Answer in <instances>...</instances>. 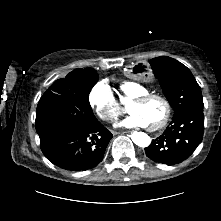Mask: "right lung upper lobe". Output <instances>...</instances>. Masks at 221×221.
Masks as SVG:
<instances>
[{
  "instance_id": "obj_1",
  "label": "right lung upper lobe",
  "mask_w": 221,
  "mask_h": 221,
  "mask_svg": "<svg viewBox=\"0 0 221 221\" xmlns=\"http://www.w3.org/2000/svg\"><path fill=\"white\" fill-rule=\"evenodd\" d=\"M91 71H94L93 69L91 68H87V69H76V70H73L72 72H70L67 77H72V76H76V75H79V74H82V73H90Z\"/></svg>"
}]
</instances>
